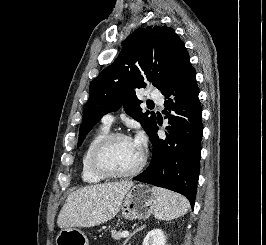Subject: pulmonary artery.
Segmentation results:
<instances>
[{"label": "pulmonary artery", "instance_id": "obj_1", "mask_svg": "<svg viewBox=\"0 0 266 245\" xmlns=\"http://www.w3.org/2000/svg\"><path fill=\"white\" fill-rule=\"evenodd\" d=\"M159 92L158 91H150V96H152V101H159ZM163 101L160 100L159 104L162 105ZM102 123L106 125H111L114 121V117L111 114H105L102 117Z\"/></svg>", "mask_w": 266, "mask_h": 245}]
</instances>
